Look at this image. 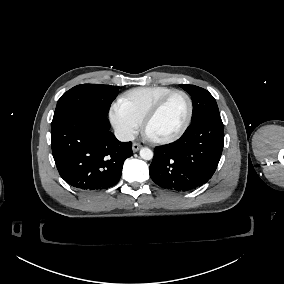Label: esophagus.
I'll return each instance as SVG.
<instances>
[{"label":"esophagus","instance_id":"obj_1","mask_svg":"<svg viewBox=\"0 0 284 284\" xmlns=\"http://www.w3.org/2000/svg\"><path fill=\"white\" fill-rule=\"evenodd\" d=\"M141 148V145L139 143H133L132 150L133 152H137Z\"/></svg>","mask_w":284,"mask_h":284}]
</instances>
